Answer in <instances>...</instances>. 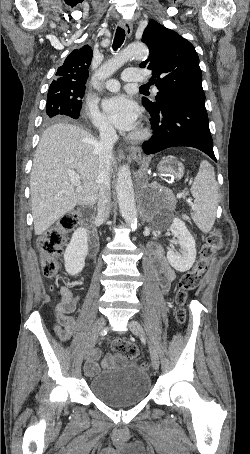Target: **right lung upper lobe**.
<instances>
[{
    "mask_svg": "<svg viewBox=\"0 0 250 454\" xmlns=\"http://www.w3.org/2000/svg\"><path fill=\"white\" fill-rule=\"evenodd\" d=\"M92 56L93 52L89 45L73 50L67 56L63 65L58 68L56 72L58 78L53 80L49 90L69 95L85 90Z\"/></svg>",
    "mask_w": 250,
    "mask_h": 454,
    "instance_id": "obj_1",
    "label": "right lung upper lobe"
}]
</instances>
